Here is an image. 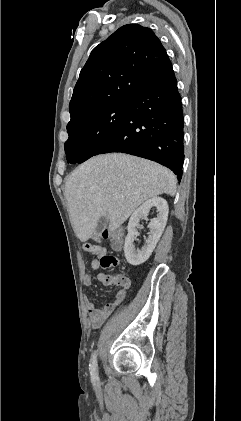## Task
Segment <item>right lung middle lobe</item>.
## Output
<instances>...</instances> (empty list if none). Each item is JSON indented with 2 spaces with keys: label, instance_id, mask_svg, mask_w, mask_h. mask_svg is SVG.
Masks as SVG:
<instances>
[{
  "label": "right lung middle lobe",
  "instance_id": "1",
  "mask_svg": "<svg viewBox=\"0 0 241 421\" xmlns=\"http://www.w3.org/2000/svg\"><path fill=\"white\" fill-rule=\"evenodd\" d=\"M127 108L128 100L117 102L67 125V161L72 164L82 163L94 156L122 126Z\"/></svg>",
  "mask_w": 241,
  "mask_h": 421
}]
</instances>
